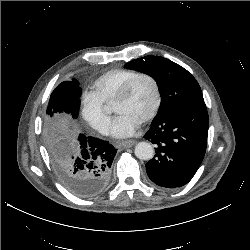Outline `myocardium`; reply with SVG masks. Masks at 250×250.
Returning <instances> with one entry per match:
<instances>
[{"instance_id":"myocardium-1","label":"myocardium","mask_w":250,"mask_h":250,"mask_svg":"<svg viewBox=\"0 0 250 250\" xmlns=\"http://www.w3.org/2000/svg\"><path fill=\"white\" fill-rule=\"evenodd\" d=\"M141 79H148L152 83L153 88H154V92H155V105L153 107V110L141 122V124H147L156 118V116L158 115V113L161 109V105H162L161 87H160V84H159L157 78L154 75H152L150 73H139L136 76H134L121 88V90L117 94L113 104L115 105V104L126 101L129 98V96H130L132 90L134 89L135 85L137 84V82Z\"/></svg>"}]
</instances>
